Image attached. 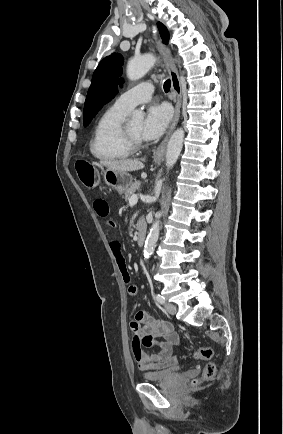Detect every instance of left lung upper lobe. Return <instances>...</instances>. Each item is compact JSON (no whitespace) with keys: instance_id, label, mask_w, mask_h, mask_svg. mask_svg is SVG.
I'll return each mask as SVG.
<instances>
[{"instance_id":"obj_1","label":"left lung upper lobe","mask_w":283,"mask_h":434,"mask_svg":"<svg viewBox=\"0 0 283 434\" xmlns=\"http://www.w3.org/2000/svg\"><path fill=\"white\" fill-rule=\"evenodd\" d=\"M157 26L163 42L168 43L169 34L166 27L160 22ZM122 64L123 57L114 53L105 57L97 66L84 105V126H87L98 111L118 93Z\"/></svg>"}]
</instances>
